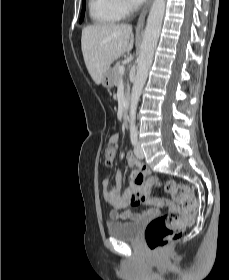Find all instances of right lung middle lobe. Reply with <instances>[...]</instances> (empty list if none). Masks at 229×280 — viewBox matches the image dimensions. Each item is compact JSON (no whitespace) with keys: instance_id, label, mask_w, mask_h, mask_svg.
Listing matches in <instances>:
<instances>
[{"instance_id":"obj_1","label":"right lung middle lobe","mask_w":229,"mask_h":280,"mask_svg":"<svg viewBox=\"0 0 229 280\" xmlns=\"http://www.w3.org/2000/svg\"><path fill=\"white\" fill-rule=\"evenodd\" d=\"M84 13H85V0H83V9H82V12H81V19H80V22L83 20L84 18Z\"/></svg>"}]
</instances>
